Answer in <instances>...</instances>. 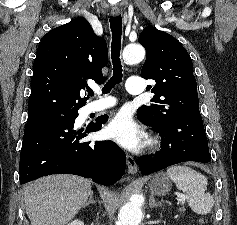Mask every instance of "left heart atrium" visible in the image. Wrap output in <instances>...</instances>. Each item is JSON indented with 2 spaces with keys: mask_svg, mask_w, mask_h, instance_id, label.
<instances>
[{
  "mask_svg": "<svg viewBox=\"0 0 237 225\" xmlns=\"http://www.w3.org/2000/svg\"><path fill=\"white\" fill-rule=\"evenodd\" d=\"M106 136L125 148L136 149L143 141V133L126 111L119 112L107 125Z\"/></svg>",
  "mask_w": 237,
  "mask_h": 225,
  "instance_id": "1",
  "label": "left heart atrium"
}]
</instances>
